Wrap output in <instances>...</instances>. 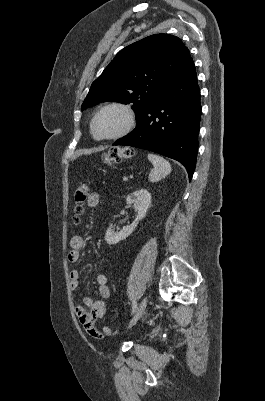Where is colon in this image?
Segmentation results:
<instances>
[{
	"label": "colon",
	"mask_w": 265,
	"mask_h": 401,
	"mask_svg": "<svg viewBox=\"0 0 265 401\" xmlns=\"http://www.w3.org/2000/svg\"><path fill=\"white\" fill-rule=\"evenodd\" d=\"M132 154L133 152L129 148L114 147L107 151V153L104 156V160L108 164H115L121 162L124 159L130 158ZM89 197H90L89 186L85 183H80L76 187L74 195L76 203L75 216H74L75 222H79L80 215L83 211L84 203L89 199ZM86 330L91 336L95 338H102L105 334L106 335L112 334V329L109 327H104L102 331H99L90 324L86 328Z\"/></svg>",
	"instance_id": "obj_1"
}]
</instances>
